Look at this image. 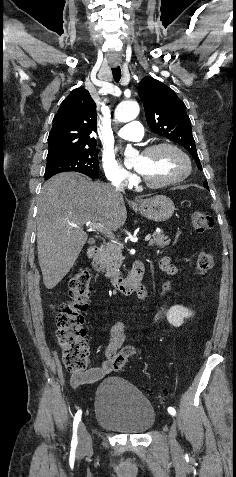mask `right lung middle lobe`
Returning a JSON list of instances; mask_svg holds the SVG:
<instances>
[{
	"instance_id": "1",
	"label": "right lung middle lobe",
	"mask_w": 236,
	"mask_h": 477,
	"mask_svg": "<svg viewBox=\"0 0 236 477\" xmlns=\"http://www.w3.org/2000/svg\"><path fill=\"white\" fill-rule=\"evenodd\" d=\"M95 146L79 149L75 153L47 160L45 179L61 172H78L93 179L99 175V162Z\"/></svg>"
}]
</instances>
